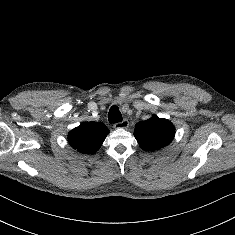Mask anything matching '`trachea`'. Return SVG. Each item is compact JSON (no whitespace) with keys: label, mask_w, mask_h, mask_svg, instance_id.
Here are the masks:
<instances>
[{"label":"trachea","mask_w":235,"mask_h":235,"mask_svg":"<svg viewBox=\"0 0 235 235\" xmlns=\"http://www.w3.org/2000/svg\"><path fill=\"white\" fill-rule=\"evenodd\" d=\"M122 115L119 111V108L117 106H112L109 110L108 114V120L110 123H118L122 122Z\"/></svg>","instance_id":"3493384b"}]
</instances>
